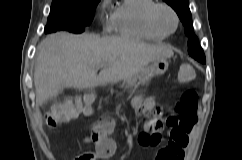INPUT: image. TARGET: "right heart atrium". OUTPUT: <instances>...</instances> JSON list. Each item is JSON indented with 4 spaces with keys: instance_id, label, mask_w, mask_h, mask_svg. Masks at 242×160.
Segmentation results:
<instances>
[{
    "instance_id": "1",
    "label": "right heart atrium",
    "mask_w": 242,
    "mask_h": 160,
    "mask_svg": "<svg viewBox=\"0 0 242 160\" xmlns=\"http://www.w3.org/2000/svg\"><path fill=\"white\" fill-rule=\"evenodd\" d=\"M109 0H103L101 3L102 10L106 9L108 6Z\"/></svg>"
}]
</instances>
